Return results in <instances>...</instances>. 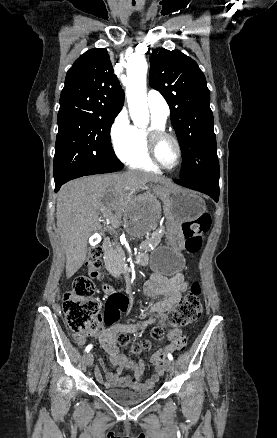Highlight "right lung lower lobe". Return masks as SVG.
I'll return each instance as SVG.
<instances>
[{"label": "right lung lower lobe", "instance_id": "obj_1", "mask_svg": "<svg viewBox=\"0 0 277 438\" xmlns=\"http://www.w3.org/2000/svg\"><path fill=\"white\" fill-rule=\"evenodd\" d=\"M118 170H120V169H118ZM118 170L93 171V172L80 173V174L73 175V176H71V177H69V178H67V179H65V180L55 182V192H57V191L59 190V188H60L64 183H66L67 181H69V180H71V179L78 178V177H81V176H84V175H93V174H101V173H110V172H115V171H118Z\"/></svg>", "mask_w": 277, "mask_h": 438}]
</instances>
